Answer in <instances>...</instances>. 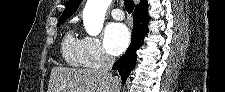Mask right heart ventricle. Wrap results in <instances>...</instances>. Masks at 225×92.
<instances>
[{
    "label": "right heart ventricle",
    "mask_w": 225,
    "mask_h": 92,
    "mask_svg": "<svg viewBox=\"0 0 225 92\" xmlns=\"http://www.w3.org/2000/svg\"><path fill=\"white\" fill-rule=\"evenodd\" d=\"M62 55L69 64L77 66L81 63V40L72 31L67 32L62 41Z\"/></svg>",
    "instance_id": "obj_1"
}]
</instances>
